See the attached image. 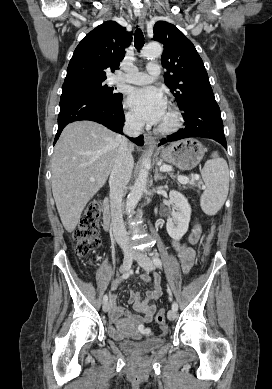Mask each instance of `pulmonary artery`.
Instances as JSON below:
<instances>
[{
    "mask_svg": "<svg viewBox=\"0 0 272 389\" xmlns=\"http://www.w3.org/2000/svg\"><path fill=\"white\" fill-rule=\"evenodd\" d=\"M160 71L161 67L157 62H150L146 67V72L134 71L118 74L113 78V82L143 85L153 81V79L160 74Z\"/></svg>",
    "mask_w": 272,
    "mask_h": 389,
    "instance_id": "pulmonary-artery-1",
    "label": "pulmonary artery"
}]
</instances>
